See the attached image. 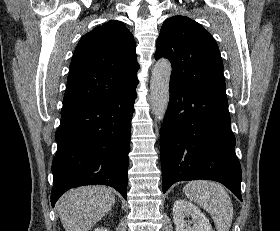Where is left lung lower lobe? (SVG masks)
I'll use <instances>...</instances> for the list:
<instances>
[{
	"label": "left lung lower lobe",
	"mask_w": 280,
	"mask_h": 231,
	"mask_svg": "<svg viewBox=\"0 0 280 231\" xmlns=\"http://www.w3.org/2000/svg\"><path fill=\"white\" fill-rule=\"evenodd\" d=\"M160 139L163 193L178 181L209 179L242 201L226 96L170 85Z\"/></svg>",
	"instance_id": "1"
}]
</instances>
